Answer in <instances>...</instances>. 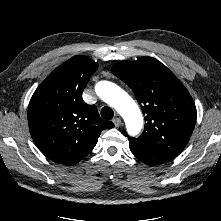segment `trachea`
<instances>
[{
  "mask_svg": "<svg viewBox=\"0 0 221 221\" xmlns=\"http://www.w3.org/2000/svg\"><path fill=\"white\" fill-rule=\"evenodd\" d=\"M114 116V112L110 107H103L101 109V117L106 119V120H110L112 119Z\"/></svg>",
  "mask_w": 221,
  "mask_h": 221,
  "instance_id": "trachea-1",
  "label": "trachea"
}]
</instances>
